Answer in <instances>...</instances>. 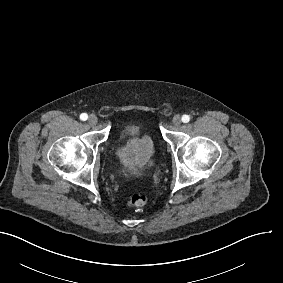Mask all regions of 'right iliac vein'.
<instances>
[{"mask_svg": "<svg viewBox=\"0 0 283 283\" xmlns=\"http://www.w3.org/2000/svg\"><path fill=\"white\" fill-rule=\"evenodd\" d=\"M88 122L90 125H96L98 122V118L95 115H90L88 118Z\"/></svg>", "mask_w": 283, "mask_h": 283, "instance_id": "right-iliac-vein-1", "label": "right iliac vein"}]
</instances>
